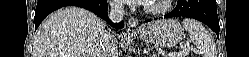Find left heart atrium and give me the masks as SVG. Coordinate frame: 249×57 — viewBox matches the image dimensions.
Listing matches in <instances>:
<instances>
[{
	"mask_svg": "<svg viewBox=\"0 0 249 57\" xmlns=\"http://www.w3.org/2000/svg\"><path fill=\"white\" fill-rule=\"evenodd\" d=\"M128 2L141 5V4L149 3L150 0H128Z\"/></svg>",
	"mask_w": 249,
	"mask_h": 57,
	"instance_id": "1",
	"label": "left heart atrium"
}]
</instances>
